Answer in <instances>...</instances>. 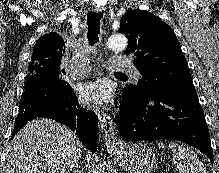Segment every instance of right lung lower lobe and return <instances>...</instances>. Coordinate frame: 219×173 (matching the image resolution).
<instances>
[{
	"mask_svg": "<svg viewBox=\"0 0 219 173\" xmlns=\"http://www.w3.org/2000/svg\"><path fill=\"white\" fill-rule=\"evenodd\" d=\"M39 116L54 119L68 126L76 131L86 148L94 152L97 150V116L93 111L79 105L73 90H64L49 76H39L25 87L11 138L28 121Z\"/></svg>",
	"mask_w": 219,
	"mask_h": 173,
	"instance_id": "98d812e1",
	"label": "right lung lower lobe"
}]
</instances>
